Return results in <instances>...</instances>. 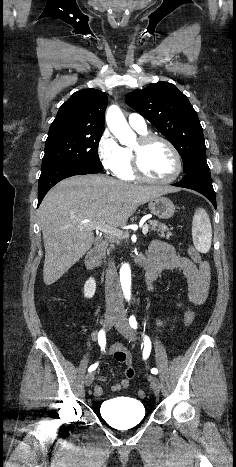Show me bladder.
<instances>
[{"instance_id": "31cf9c89", "label": "bladder", "mask_w": 236, "mask_h": 467, "mask_svg": "<svg viewBox=\"0 0 236 467\" xmlns=\"http://www.w3.org/2000/svg\"><path fill=\"white\" fill-rule=\"evenodd\" d=\"M99 411L104 420L120 429L133 427L145 418L142 402L128 397L108 399L102 403Z\"/></svg>"}]
</instances>
